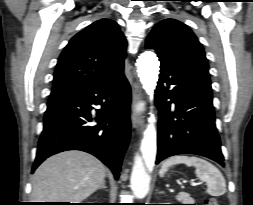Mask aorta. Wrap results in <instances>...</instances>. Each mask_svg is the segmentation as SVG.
Masks as SVG:
<instances>
[{"instance_id": "aorta-1", "label": "aorta", "mask_w": 253, "mask_h": 205, "mask_svg": "<svg viewBox=\"0 0 253 205\" xmlns=\"http://www.w3.org/2000/svg\"><path fill=\"white\" fill-rule=\"evenodd\" d=\"M137 72L143 89L146 91L149 100L152 102L159 75V61L156 54L151 51L141 53L137 61ZM148 122L149 124L144 132L142 151L144 154L154 158L156 154V119L152 113H150ZM130 186L133 194L139 199L144 198L148 194L150 175L147 172L140 155H137L135 158Z\"/></svg>"}]
</instances>
